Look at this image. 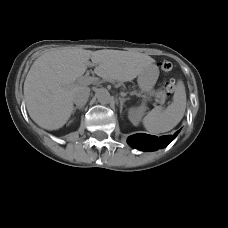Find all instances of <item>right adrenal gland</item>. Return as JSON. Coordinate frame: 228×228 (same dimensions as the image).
<instances>
[{
	"mask_svg": "<svg viewBox=\"0 0 228 228\" xmlns=\"http://www.w3.org/2000/svg\"><path fill=\"white\" fill-rule=\"evenodd\" d=\"M77 109L82 110L83 107L82 106H76V107H74L73 108V111H72V114H74Z\"/></svg>",
	"mask_w": 228,
	"mask_h": 228,
	"instance_id": "2a0ac1e0",
	"label": "right adrenal gland"
}]
</instances>
